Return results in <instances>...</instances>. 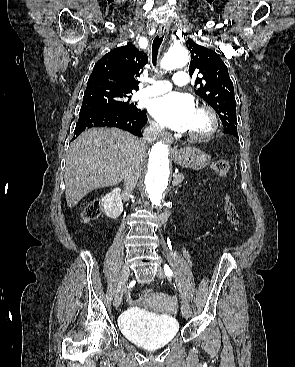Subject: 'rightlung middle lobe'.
Masks as SVG:
<instances>
[{
    "instance_id": "1",
    "label": "right lung middle lobe",
    "mask_w": 295,
    "mask_h": 367,
    "mask_svg": "<svg viewBox=\"0 0 295 367\" xmlns=\"http://www.w3.org/2000/svg\"><path fill=\"white\" fill-rule=\"evenodd\" d=\"M128 94H120L105 88L86 89L80 112L95 110L136 111L134 104L129 103Z\"/></svg>"
}]
</instances>
